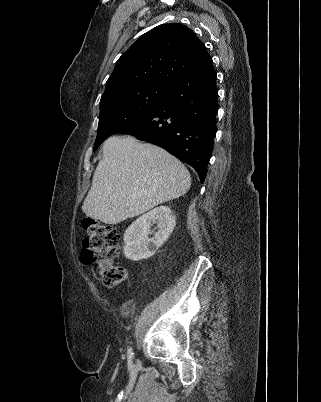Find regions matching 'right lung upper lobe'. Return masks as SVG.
I'll return each instance as SVG.
<instances>
[{"label": "right lung upper lobe", "mask_w": 321, "mask_h": 402, "mask_svg": "<svg viewBox=\"0 0 321 402\" xmlns=\"http://www.w3.org/2000/svg\"><path fill=\"white\" fill-rule=\"evenodd\" d=\"M212 64L205 45L179 23L159 25L142 35L118 59L101 100L150 84L168 86Z\"/></svg>", "instance_id": "cb5924a9"}]
</instances>
